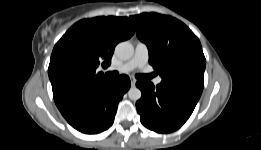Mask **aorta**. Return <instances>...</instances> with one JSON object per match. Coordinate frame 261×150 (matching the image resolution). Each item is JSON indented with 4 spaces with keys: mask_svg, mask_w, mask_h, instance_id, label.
<instances>
[{
    "mask_svg": "<svg viewBox=\"0 0 261 150\" xmlns=\"http://www.w3.org/2000/svg\"><path fill=\"white\" fill-rule=\"evenodd\" d=\"M115 53L119 58L123 60H128L134 54V47L128 41L120 42L115 48ZM141 95V91L137 87H131L128 91V96L133 101L139 100L141 98Z\"/></svg>",
    "mask_w": 261,
    "mask_h": 150,
    "instance_id": "aorta-1",
    "label": "aorta"
}]
</instances>
